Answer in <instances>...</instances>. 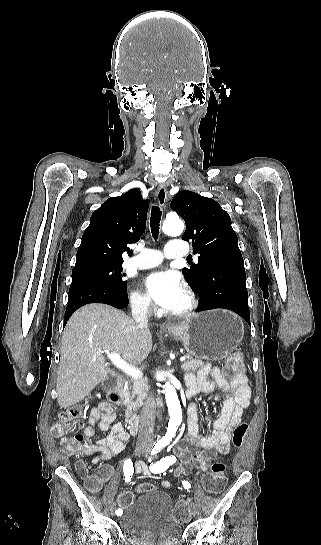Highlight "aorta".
Segmentation results:
<instances>
[{
    "instance_id": "obj_1",
    "label": "aorta",
    "mask_w": 321,
    "mask_h": 545,
    "mask_svg": "<svg viewBox=\"0 0 321 545\" xmlns=\"http://www.w3.org/2000/svg\"><path fill=\"white\" fill-rule=\"evenodd\" d=\"M162 230L167 235L178 236L184 230V223L179 218L167 219L163 223ZM165 398H166L170 420H169L167 432L161 440V443L164 445L172 441L182 421V410H181L180 402L178 400V396H177L175 388L170 383H166Z\"/></svg>"
}]
</instances>
